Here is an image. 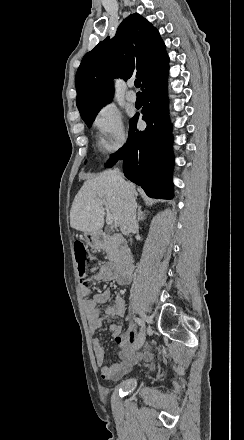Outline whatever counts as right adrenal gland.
Here are the masks:
<instances>
[{"instance_id":"2a0ac1e0","label":"right adrenal gland","mask_w":244,"mask_h":440,"mask_svg":"<svg viewBox=\"0 0 244 440\" xmlns=\"http://www.w3.org/2000/svg\"><path fill=\"white\" fill-rule=\"evenodd\" d=\"M141 208L142 206H137V216H138L137 222H140L141 218L145 216V212H141Z\"/></svg>"}]
</instances>
